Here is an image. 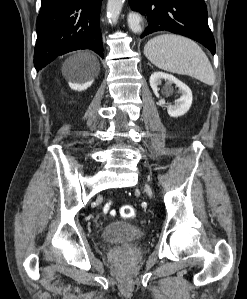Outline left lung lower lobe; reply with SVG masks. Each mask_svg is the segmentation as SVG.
<instances>
[{
	"instance_id": "obj_1",
	"label": "left lung lower lobe",
	"mask_w": 247,
	"mask_h": 299,
	"mask_svg": "<svg viewBox=\"0 0 247 299\" xmlns=\"http://www.w3.org/2000/svg\"><path fill=\"white\" fill-rule=\"evenodd\" d=\"M132 10L145 14L149 26L141 37L169 31L189 37L215 54V41L207 22L204 0H129Z\"/></svg>"
}]
</instances>
